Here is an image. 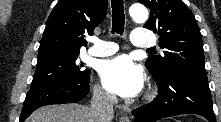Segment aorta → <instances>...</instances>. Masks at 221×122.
<instances>
[{"label": "aorta", "mask_w": 221, "mask_h": 122, "mask_svg": "<svg viewBox=\"0 0 221 122\" xmlns=\"http://www.w3.org/2000/svg\"><path fill=\"white\" fill-rule=\"evenodd\" d=\"M129 14L137 23H144L148 19V11L143 4H133L129 8Z\"/></svg>", "instance_id": "obj_1"}]
</instances>
